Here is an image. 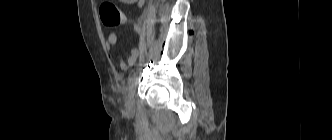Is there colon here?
Masks as SVG:
<instances>
[{
	"mask_svg": "<svg viewBox=\"0 0 332 140\" xmlns=\"http://www.w3.org/2000/svg\"><path fill=\"white\" fill-rule=\"evenodd\" d=\"M101 21L105 26L115 27L127 23V19L122 11L112 2H103L99 9Z\"/></svg>",
	"mask_w": 332,
	"mask_h": 140,
	"instance_id": "5ec220e1",
	"label": "colon"
}]
</instances>
